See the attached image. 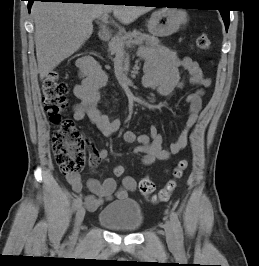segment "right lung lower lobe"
<instances>
[{
	"label": "right lung lower lobe",
	"mask_w": 259,
	"mask_h": 266,
	"mask_svg": "<svg viewBox=\"0 0 259 266\" xmlns=\"http://www.w3.org/2000/svg\"><path fill=\"white\" fill-rule=\"evenodd\" d=\"M28 1V10L30 12L31 6L34 1H42V2H62V3H67V2H80L84 4L88 3H94V4H99V3H119V2H107L108 0H27ZM114 1V0H111Z\"/></svg>",
	"instance_id": "98d812e1"
}]
</instances>
